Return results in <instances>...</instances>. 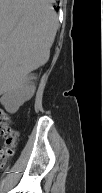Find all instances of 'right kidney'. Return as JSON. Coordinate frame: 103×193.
Instances as JSON below:
<instances>
[{
	"mask_svg": "<svg viewBox=\"0 0 103 193\" xmlns=\"http://www.w3.org/2000/svg\"><path fill=\"white\" fill-rule=\"evenodd\" d=\"M36 76L29 72L13 76L4 84L1 103L9 113H15L21 105L29 100L36 89Z\"/></svg>",
	"mask_w": 103,
	"mask_h": 193,
	"instance_id": "obj_1",
	"label": "right kidney"
}]
</instances>
